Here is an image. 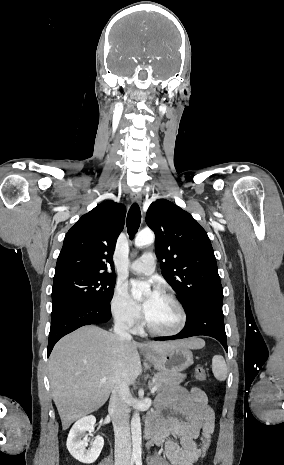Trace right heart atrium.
<instances>
[{"instance_id": "obj_1", "label": "right heart atrium", "mask_w": 284, "mask_h": 465, "mask_svg": "<svg viewBox=\"0 0 284 465\" xmlns=\"http://www.w3.org/2000/svg\"><path fill=\"white\" fill-rule=\"evenodd\" d=\"M109 311L113 320L124 329H133L139 323V313L126 299L122 287L114 290L109 302Z\"/></svg>"}]
</instances>
